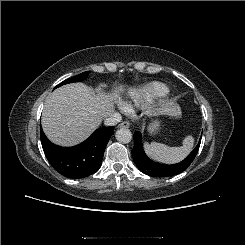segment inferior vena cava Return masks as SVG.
Returning a JSON list of instances; mask_svg holds the SVG:
<instances>
[{
	"instance_id": "inferior-vena-cava-1",
	"label": "inferior vena cava",
	"mask_w": 245,
	"mask_h": 245,
	"mask_svg": "<svg viewBox=\"0 0 245 245\" xmlns=\"http://www.w3.org/2000/svg\"><path fill=\"white\" fill-rule=\"evenodd\" d=\"M121 114L115 112L111 113L108 116L105 117L104 124L107 126H114L117 125L119 122H121Z\"/></svg>"
}]
</instances>
